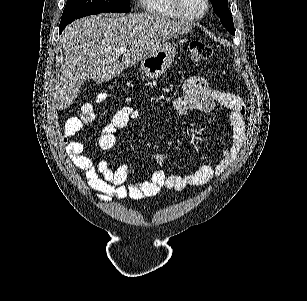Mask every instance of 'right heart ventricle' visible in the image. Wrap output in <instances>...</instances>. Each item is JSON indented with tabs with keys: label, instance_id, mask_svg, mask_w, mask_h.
<instances>
[{
	"label": "right heart ventricle",
	"instance_id": "right-heart-ventricle-1",
	"mask_svg": "<svg viewBox=\"0 0 307 301\" xmlns=\"http://www.w3.org/2000/svg\"><path fill=\"white\" fill-rule=\"evenodd\" d=\"M145 5V12L151 17H178V10L171 9L172 0H141Z\"/></svg>",
	"mask_w": 307,
	"mask_h": 301
}]
</instances>
